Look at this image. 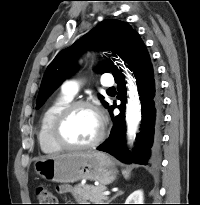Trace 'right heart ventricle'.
Here are the masks:
<instances>
[{"label": "right heart ventricle", "instance_id": "e07e8e85", "mask_svg": "<svg viewBox=\"0 0 200 205\" xmlns=\"http://www.w3.org/2000/svg\"><path fill=\"white\" fill-rule=\"evenodd\" d=\"M72 99L65 93H61L43 111L38 130V142L43 152L52 154L61 151V148L53 140L52 127L57 115Z\"/></svg>", "mask_w": 200, "mask_h": 205}]
</instances>
